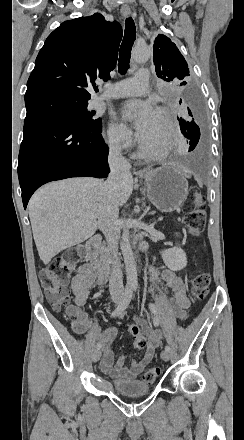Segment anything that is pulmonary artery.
<instances>
[{"label": "pulmonary artery", "mask_w": 244, "mask_h": 440, "mask_svg": "<svg viewBox=\"0 0 244 440\" xmlns=\"http://www.w3.org/2000/svg\"><path fill=\"white\" fill-rule=\"evenodd\" d=\"M136 74L127 75L126 82L124 83H113L110 93L101 95L100 99H116L144 94L141 91L147 89L148 71L146 69H138Z\"/></svg>", "instance_id": "pulmonary-artery-1"}]
</instances>
